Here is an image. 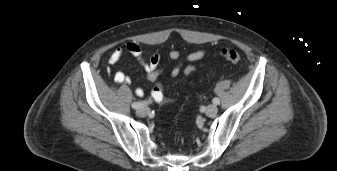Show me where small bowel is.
I'll return each instance as SVG.
<instances>
[{"label":"small bowel","instance_id":"c3829d8e","mask_svg":"<svg viewBox=\"0 0 337 171\" xmlns=\"http://www.w3.org/2000/svg\"><path fill=\"white\" fill-rule=\"evenodd\" d=\"M125 54H130L138 60L146 72L147 80L154 84L150 93L151 99L156 102L168 101L169 98L165 95L164 88L159 82L160 75L165 71L163 67H160V54L158 52H153L147 57L145 56L143 49L137 43L128 42L119 46L111 53L108 64H117ZM206 54L207 50L205 48H200L188 54L184 60H180V51H170L167 55V60L170 63L176 62V64L170 71L169 77L175 79L181 73L186 76L194 73L197 70V67L191 63L203 59ZM113 79L117 84H129L131 82L130 77L121 70H117L113 74ZM144 93V90L140 87L135 89V94L139 97H142Z\"/></svg>","mask_w":337,"mask_h":171}]
</instances>
